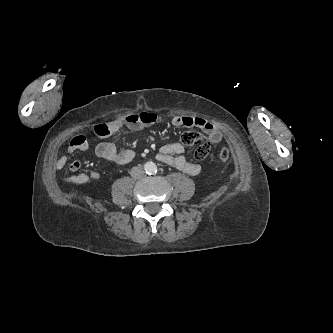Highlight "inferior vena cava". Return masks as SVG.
Segmentation results:
<instances>
[{"label": "inferior vena cava", "instance_id": "1", "mask_svg": "<svg viewBox=\"0 0 333 333\" xmlns=\"http://www.w3.org/2000/svg\"><path fill=\"white\" fill-rule=\"evenodd\" d=\"M130 174L133 178L140 179L144 176V170L142 169V167L135 166L131 169Z\"/></svg>", "mask_w": 333, "mask_h": 333}]
</instances>
